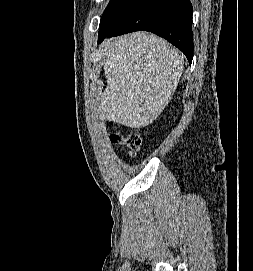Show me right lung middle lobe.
<instances>
[{
  "label": "right lung middle lobe",
  "instance_id": "right-lung-middle-lobe-1",
  "mask_svg": "<svg viewBox=\"0 0 253 271\" xmlns=\"http://www.w3.org/2000/svg\"><path fill=\"white\" fill-rule=\"evenodd\" d=\"M135 0H110L100 21L99 32L112 29Z\"/></svg>",
  "mask_w": 253,
  "mask_h": 271
}]
</instances>
